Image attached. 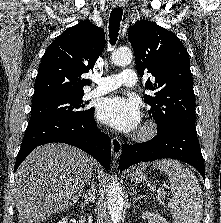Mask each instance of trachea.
Masks as SVG:
<instances>
[{"label": "trachea", "mask_w": 221, "mask_h": 223, "mask_svg": "<svg viewBox=\"0 0 221 223\" xmlns=\"http://www.w3.org/2000/svg\"><path fill=\"white\" fill-rule=\"evenodd\" d=\"M122 15L123 10L121 8H114L111 12L109 20V38L111 45H114L117 41Z\"/></svg>", "instance_id": "obj_1"}]
</instances>
